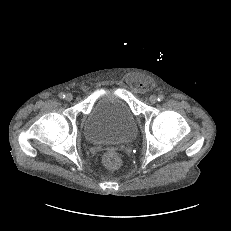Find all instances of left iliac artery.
Instances as JSON below:
<instances>
[{"mask_svg":"<svg viewBox=\"0 0 231 231\" xmlns=\"http://www.w3.org/2000/svg\"><path fill=\"white\" fill-rule=\"evenodd\" d=\"M157 100H158L159 102L163 101V100H164V96H163V95H159V96L157 97Z\"/></svg>","mask_w":231,"mask_h":231,"instance_id":"left-iliac-artery-1","label":"left iliac artery"}]
</instances>
